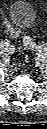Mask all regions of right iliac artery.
Wrapping results in <instances>:
<instances>
[{
  "instance_id": "82829eb1",
  "label": "right iliac artery",
  "mask_w": 47,
  "mask_h": 129,
  "mask_svg": "<svg viewBox=\"0 0 47 129\" xmlns=\"http://www.w3.org/2000/svg\"><path fill=\"white\" fill-rule=\"evenodd\" d=\"M4 45L9 46V43L6 41H2L0 46H4Z\"/></svg>"
}]
</instances>
